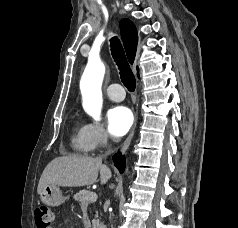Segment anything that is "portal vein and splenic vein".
Returning <instances> with one entry per match:
<instances>
[{"mask_svg": "<svg viewBox=\"0 0 238 228\" xmlns=\"http://www.w3.org/2000/svg\"><path fill=\"white\" fill-rule=\"evenodd\" d=\"M86 199L87 200H96L97 194L95 192H92Z\"/></svg>", "mask_w": 238, "mask_h": 228, "instance_id": "portal-vein-and-splenic-vein-1", "label": "portal vein and splenic vein"}]
</instances>
